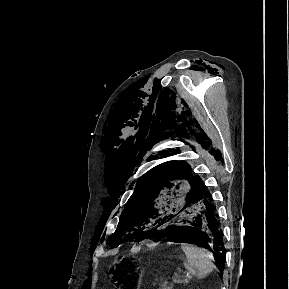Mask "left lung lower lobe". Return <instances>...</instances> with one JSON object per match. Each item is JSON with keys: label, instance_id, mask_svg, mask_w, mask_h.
Instances as JSON below:
<instances>
[{"label": "left lung lower lobe", "instance_id": "left-lung-lower-lobe-1", "mask_svg": "<svg viewBox=\"0 0 289 289\" xmlns=\"http://www.w3.org/2000/svg\"><path fill=\"white\" fill-rule=\"evenodd\" d=\"M176 217V221L170 222ZM183 236L194 238V244L210 250L222 273L225 261L223 233L218 222L214 200L205 184L184 188L172 203L164 225L146 238Z\"/></svg>", "mask_w": 289, "mask_h": 289}]
</instances>
